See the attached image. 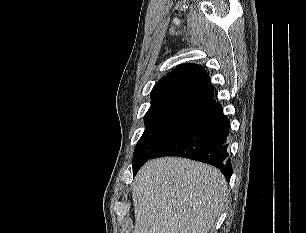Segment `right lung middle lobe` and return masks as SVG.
<instances>
[{
	"label": "right lung middle lobe",
	"instance_id": "obj_1",
	"mask_svg": "<svg viewBox=\"0 0 306 233\" xmlns=\"http://www.w3.org/2000/svg\"><path fill=\"white\" fill-rule=\"evenodd\" d=\"M204 108L182 101L151 104L144 117L145 131L133 154V171L140 168Z\"/></svg>",
	"mask_w": 306,
	"mask_h": 233
}]
</instances>
